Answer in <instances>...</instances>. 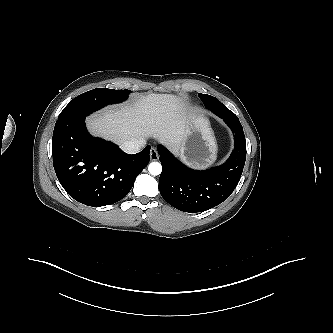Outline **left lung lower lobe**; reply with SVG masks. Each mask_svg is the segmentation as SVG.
<instances>
[{
	"label": "left lung lower lobe",
	"mask_w": 333,
	"mask_h": 333,
	"mask_svg": "<svg viewBox=\"0 0 333 333\" xmlns=\"http://www.w3.org/2000/svg\"><path fill=\"white\" fill-rule=\"evenodd\" d=\"M203 101L234 134V150L224 164L203 171L193 170L158 145L162 165L160 193L170 205L190 213L209 210L226 200L238 184L246 160L245 136L237 116L215 97Z\"/></svg>",
	"instance_id": "obj_1"
}]
</instances>
